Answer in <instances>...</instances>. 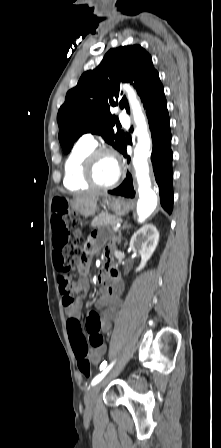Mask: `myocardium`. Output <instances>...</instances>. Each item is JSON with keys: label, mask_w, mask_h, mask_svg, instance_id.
<instances>
[{"label": "myocardium", "mask_w": 221, "mask_h": 448, "mask_svg": "<svg viewBox=\"0 0 221 448\" xmlns=\"http://www.w3.org/2000/svg\"><path fill=\"white\" fill-rule=\"evenodd\" d=\"M102 155L112 156L116 160L117 165H118V174H117L116 178L114 179V181L109 184H100L96 180V177L94 174L96 160L98 159V157H100ZM123 174H124V171H123V166L120 162V159H119L117 153L115 151H113L112 149H108V148L93 149L83 159L82 177H83V180L92 187H95L98 189H104V190L112 189L120 183V181L123 178Z\"/></svg>", "instance_id": "myocardium-1"}]
</instances>
